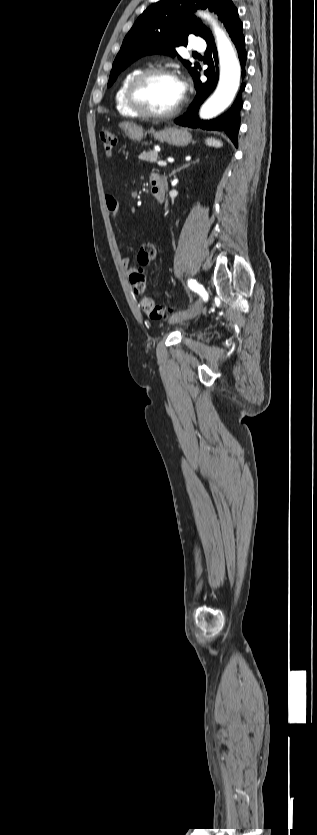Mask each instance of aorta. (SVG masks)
Masks as SVG:
<instances>
[{"label":"aorta","mask_w":317,"mask_h":835,"mask_svg":"<svg viewBox=\"0 0 317 835\" xmlns=\"http://www.w3.org/2000/svg\"><path fill=\"white\" fill-rule=\"evenodd\" d=\"M198 14L212 25L219 56L220 76L217 88L200 109L202 119H211L225 111L232 103L239 88L241 68L236 51L225 32L209 13Z\"/></svg>","instance_id":"1"}]
</instances>
